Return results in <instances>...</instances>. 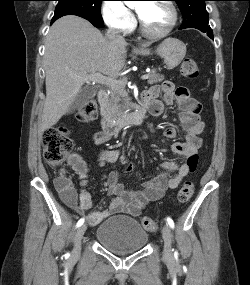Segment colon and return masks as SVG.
<instances>
[{"mask_svg": "<svg viewBox=\"0 0 250 285\" xmlns=\"http://www.w3.org/2000/svg\"><path fill=\"white\" fill-rule=\"evenodd\" d=\"M181 74L187 79H194L199 75V68L195 60L186 58L181 65ZM97 103L90 99L79 109L78 117L83 121H91L96 117ZM73 144L68 137L65 128H50L43 134V155L46 163L50 166H60L71 154ZM198 156L191 155L187 164L192 172L196 169ZM194 193V186L190 181L185 182L177 194L178 202L183 204L189 201ZM142 227L150 232L157 229V222L151 217L145 216L141 219Z\"/></svg>", "mask_w": 250, "mask_h": 285, "instance_id": "1", "label": "colon"}]
</instances>
